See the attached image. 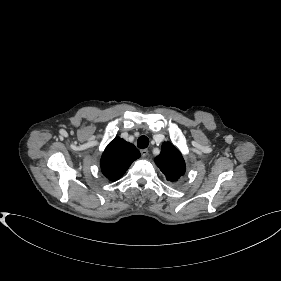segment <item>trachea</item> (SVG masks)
<instances>
[{"label":"trachea","instance_id":"trachea-1","mask_svg":"<svg viewBox=\"0 0 281 281\" xmlns=\"http://www.w3.org/2000/svg\"><path fill=\"white\" fill-rule=\"evenodd\" d=\"M149 145V139L146 136H140L138 138V147L141 149H144L146 147H148Z\"/></svg>","mask_w":281,"mask_h":281}]
</instances>
